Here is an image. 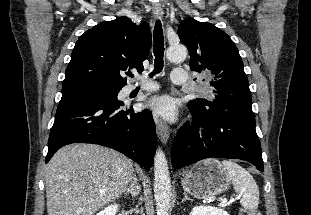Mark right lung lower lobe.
Listing matches in <instances>:
<instances>
[{
	"label": "right lung lower lobe",
	"mask_w": 311,
	"mask_h": 215,
	"mask_svg": "<svg viewBox=\"0 0 311 215\" xmlns=\"http://www.w3.org/2000/svg\"><path fill=\"white\" fill-rule=\"evenodd\" d=\"M121 106L122 103L102 105L85 100L59 103L45 163L64 145L93 143L113 148L150 169L157 141L152 114L134 113Z\"/></svg>",
	"instance_id": "98d812e1"
}]
</instances>
